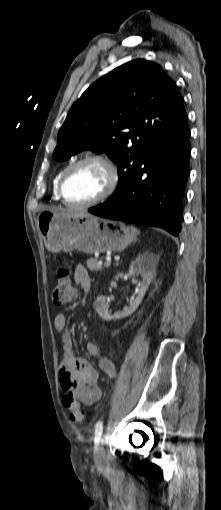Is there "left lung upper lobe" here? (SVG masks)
Returning <instances> with one entry per match:
<instances>
[{
    "mask_svg": "<svg viewBox=\"0 0 221 510\" xmlns=\"http://www.w3.org/2000/svg\"><path fill=\"white\" fill-rule=\"evenodd\" d=\"M187 126L175 82L153 62L137 59L94 82L69 110L53 152L57 161L89 149L118 168L110 198L131 182L149 147Z\"/></svg>",
    "mask_w": 221,
    "mask_h": 510,
    "instance_id": "obj_1",
    "label": "left lung upper lobe"
}]
</instances>
